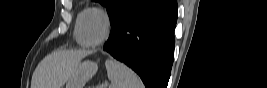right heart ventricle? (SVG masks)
Returning a JSON list of instances; mask_svg holds the SVG:
<instances>
[{
  "instance_id": "right-heart-ventricle-1",
  "label": "right heart ventricle",
  "mask_w": 267,
  "mask_h": 88,
  "mask_svg": "<svg viewBox=\"0 0 267 88\" xmlns=\"http://www.w3.org/2000/svg\"><path fill=\"white\" fill-rule=\"evenodd\" d=\"M91 8H83L79 10L76 19H75V24H74V29H73V35L76 40V42L81 45V46H86L85 43L82 40L81 34H80V28H81V21L84 13L88 11Z\"/></svg>"
}]
</instances>
